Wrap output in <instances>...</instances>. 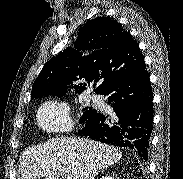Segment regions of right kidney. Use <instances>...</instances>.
<instances>
[{
  "label": "right kidney",
  "instance_id": "ca27d5eb",
  "mask_svg": "<svg viewBox=\"0 0 183 179\" xmlns=\"http://www.w3.org/2000/svg\"><path fill=\"white\" fill-rule=\"evenodd\" d=\"M101 179H114L112 176H103Z\"/></svg>",
  "mask_w": 183,
  "mask_h": 179
}]
</instances>
